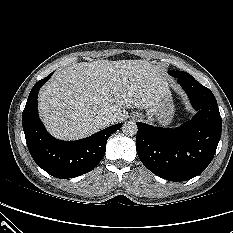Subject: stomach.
<instances>
[{
  "label": "stomach",
  "instance_id": "1",
  "mask_svg": "<svg viewBox=\"0 0 233 233\" xmlns=\"http://www.w3.org/2000/svg\"><path fill=\"white\" fill-rule=\"evenodd\" d=\"M174 115V103L170 90L166 92L158 101L153 112L156 121L163 126L171 123Z\"/></svg>",
  "mask_w": 233,
  "mask_h": 233
}]
</instances>
